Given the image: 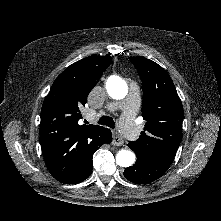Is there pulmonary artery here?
Listing matches in <instances>:
<instances>
[{
	"label": "pulmonary artery",
	"mask_w": 221,
	"mask_h": 221,
	"mask_svg": "<svg viewBox=\"0 0 221 221\" xmlns=\"http://www.w3.org/2000/svg\"><path fill=\"white\" fill-rule=\"evenodd\" d=\"M138 107V99L131 93L122 103H113L109 105L110 110L118 108L123 109V115L120 123V130L129 139H134L137 133L135 125V115Z\"/></svg>",
	"instance_id": "e3ab8cb5"
}]
</instances>
